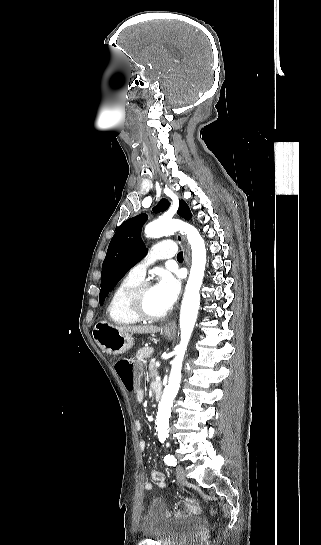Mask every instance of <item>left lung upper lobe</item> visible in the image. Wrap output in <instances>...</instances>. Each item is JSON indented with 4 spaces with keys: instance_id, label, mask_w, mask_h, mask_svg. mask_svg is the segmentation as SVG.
<instances>
[{
    "instance_id": "1",
    "label": "left lung upper lobe",
    "mask_w": 321,
    "mask_h": 545,
    "mask_svg": "<svg viewBox=\"0 0 321 545\" xmlns=\"http://www.w3.org/2000/svg\"><path fill=\"white\" fill-rule=\"evenodd\" d=\"M169 207V202L162 199L153 208V212L164 211ZM185 219H190L192 214L184 200L179 201L177 212ZM146 214H140L123 222L116 230L110 241L105 260L102 265L100 304L103 303L118 281L136 265L145 255L146 248L141 240V227L147 221Z\"/></svg>"
}]
</instances>
